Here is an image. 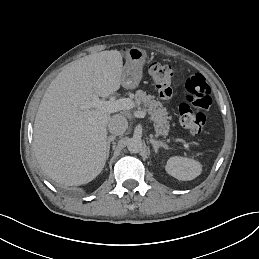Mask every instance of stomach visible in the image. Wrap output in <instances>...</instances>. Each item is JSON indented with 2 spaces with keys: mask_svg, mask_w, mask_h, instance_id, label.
<instances>
[{
  "mask_svg": "<svg viewBox=\"0 0 259 259\" xmlns=\"http://www.w3.org/2000/svg\"><path fill=\"white\" fill-rule=\"evenodd\" d=\"M127 63L122 69L121 82L124 87L128 89L137 88L143 77L142 65L145 62L146 53L145 51L132 47L127 51Z\"/></svg>",
  "mask_w": 259,
  "mask_h": 259,
  "instance_id": "stomach-1",
  "label": "stomach"
}]
</instances>
